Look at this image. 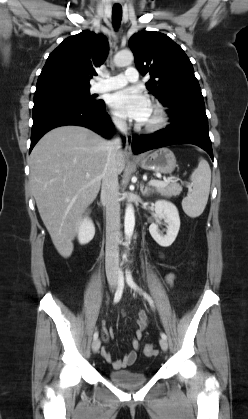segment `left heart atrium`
I'll return each instance as SVG.
<instances>
[{
	"instance_id": "left-heart-atrium-1",
	"label": "left heart atrium",
	"mask_w": 248,
	"mask_h": 419,
	"mask_svg": "<svg viewBox=\"0 0 248 419\" xmlns=\"http://www.w3.org/2000/svg\"><path fill=\"white\" fill-rule=\"evenodd\" d=\"M109 105L118 116L139 123L146 121L151 109L148 97L136 87L115 92L110 97Z\"/></svg>"
}]
</instances>
